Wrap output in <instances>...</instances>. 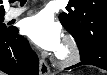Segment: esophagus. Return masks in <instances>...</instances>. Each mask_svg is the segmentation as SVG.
Segmentation results:
<instances>
[{"instance_id":"obj_1","label":"esophagus","mask_w":107,"mask_h":75,"mask_svg":"<svg viewBox=\"0 0 107 75\" xmlns=\"http://www.w3.org/2000/svg\"><path fill=\"white\" fill-rule=\"evenodd\" d=\"M39 72L40 75L50 74V68L44 59L39 60Z\"/></svg>"}]
</instances>
